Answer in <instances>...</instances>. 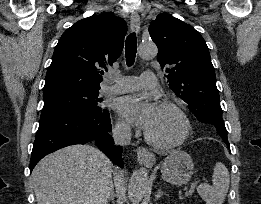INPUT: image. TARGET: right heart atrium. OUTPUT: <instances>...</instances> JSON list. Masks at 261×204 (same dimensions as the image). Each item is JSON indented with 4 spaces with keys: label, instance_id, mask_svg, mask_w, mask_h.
I'll list each match as a JSON object with an SVG mask.
<instances>
[{
    "label": "right heart atrium",
    "instance_id": "d8ad5b80",
    "mask_svg": "<svg viewBox=\"0 0 261 204\" xmlns=\"http://www.w3.org/2000/svg\"><path fill=\"white\" fill-rule=\"evenodd\" d=\"M114 133L121 139H128L131 136V128L125 121L118 120L114 126Z\"/></svg>",
    "mask_w": 261,
    "mask_h": 204
}]
</instances>
